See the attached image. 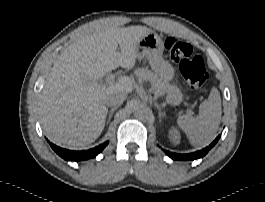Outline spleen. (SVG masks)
Segmentation results:
<instances>
[{
	"label": "spleen",
	"instance_id": "3e777b00",
	"mask_svg": "<svg viewBox=\"0 0 265 202\" xmlns=\"http://www.w3.org/2000/svg\"><path fill=\"white\" fill-rule=\"evenodd\" d=\"M221 114L220 94L216 88H213L209 98L200 104L199 115L179 116L177 124L187 135L191 144L204 146L214 138L219 128Z\"/></svg>",
	"mask_w": 265,
	"mask_h": 202
}]
</instances>
